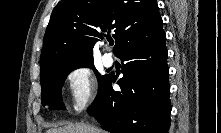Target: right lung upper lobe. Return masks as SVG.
<instances>
[{"mask_svg": "<svg viewBox=\"0 0 221 133\" xmlns=\"http://www.w3.org/2000/svg\"><path fill=\"white\" fill-rule=\"evenodd\" d=\"M114 32L115 55L163 34L156 0H62L54 8L41 51V72L65 62L93 61L96 38Z\"/></svg>", "mask_w": 221, "mask_h": 133, "instance_id": "right-lung-upper-lobe-1", "label": "right lung upper lobe"}]
</instances>
